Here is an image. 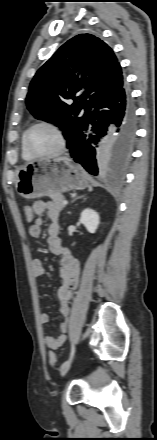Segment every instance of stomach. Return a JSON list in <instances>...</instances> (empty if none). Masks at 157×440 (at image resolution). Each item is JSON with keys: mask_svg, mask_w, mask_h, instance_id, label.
Listing matches in <instances>:
<instances>
[{"mask_svg": "<svg viewBox=\"0 0 157 440\" xmlns=\"http://www.w3.org/2000/svg\"><path fill=\"white\" fill-rule=\"evenodd\" d=\"M88 185L84 169L69 159H40L29 162L17 173L15 188L25 199L82 190Z\"/></svg>", "mask_w": 157, "mask_h": 440, "instance_id": "1", "label": "stomach"}]
</instances>
